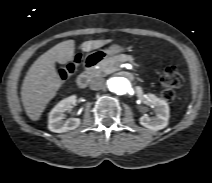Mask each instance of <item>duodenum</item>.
Listing matches in <instances>:
<instances>
[{
  "label": "duodenum",
  "instance_id": "duodenum-1",
  "mask_svg": "<svg viewBox=\"0 0 212 183\" xmlns=\"http://www.w3.org/2000/svg\"><path fill=\"white\" fill-rule=\"evenodd\" d=\"M99 58L97 56H89L84 62V70L77 78V85L84 88L88 85L95 66L98 64Z\"/></svg>",
  "mask_w": 212,
  "mask_h": 183
}]
</instances>
